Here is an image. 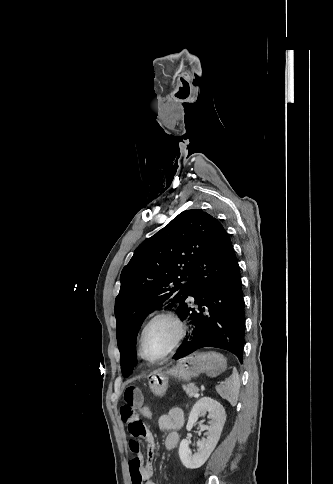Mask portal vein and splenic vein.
I'll return each mask as SVG.
<instances>
[{
  "instance_id": "1",
  "label": "portal vein and splenic vein",
  "mask_w": 333,
  "mask_h": 484,
  "mask_svg": "<svg viewBox=\"0 0 333 484\" xmlns=\"http://www.w3.org/2000/svg\"><path fill=\"white\" fill-rule=\"evenodd\" d=\"M198 391H199V389H198V388H196V389H195V393H194L193 395H194V396H199Z\"/></svg>"
}]
</instances>
